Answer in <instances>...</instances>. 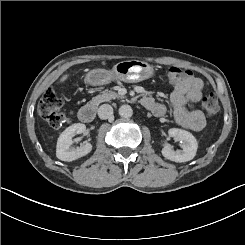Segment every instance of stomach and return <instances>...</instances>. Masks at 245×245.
<instances>
[{"label": "stomach", "mask_w": 245, "mask_h": 245, "mask_svg": "<svg viewBox=\"0 0 245 245\" xmlns=\"http://www.w3.org/2000/svg\"><path fill=\"white\" fill-rule=\"evenodd\" d=\"M154 75V67L147 62L130 60L119 62L111 71L106 69H93L86 75V81L90 85H104L112 80H120L127 83H137Z\"/></svg>", "instance_id": "obj_1"}]
</instances>
